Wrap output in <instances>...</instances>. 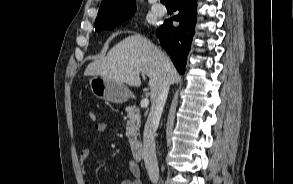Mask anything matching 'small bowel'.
<instances>
[{"label":"small bowel","instance_id":"small-bowel-1","mask_svg":"<svg viewBox=\"0 0 293 184\" xmlns=\"http://www.w3.org/2000/svg\"><path fill=\"white\" fill-rule=\"evenodd\" d=\"M107 125L104 122H96L94 125V130L97 133H103L106 131ZM90 157V150L89 149H83L79 156V161L82 167V170H86V162ZM129 170L132 175V179L124 180L120 184H142V181L140 179V169L136 162L131 161L129 163ZM85 184H90V182L85 181Z\"/></svg>","mask_w":293,"mask_h":184}]
</instances>
